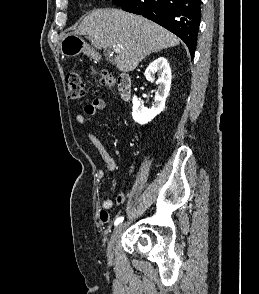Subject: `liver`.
Returning a JSON list of instances; mask_svg holds the SVG:
<instances>
[{
  "label": "liver",
  "instance_id": "liver-1",
  "mask_svg": "<svg viewBox=\"0 0 259 294\" xmlns=\"http://www.w3.org/2000/svg\"><path fill=\"white\" fill-rule=\"evenodd\" d=\"M75 33L88 35L91 44L98 50L121 46L114 62L122 72L133 71L151 53L180 43L176 35L160 25L118 9L91 11Z\"/></svg>",
  "mask_w": 259,
  "mask_h": 294
}]
</instances>
